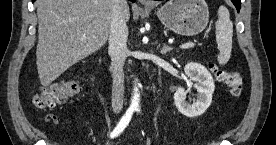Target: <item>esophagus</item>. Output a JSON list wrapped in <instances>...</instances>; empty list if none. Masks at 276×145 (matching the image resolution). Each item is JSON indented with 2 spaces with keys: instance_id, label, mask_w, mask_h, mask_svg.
<instances>
[{
  "instance_id": "1",
  "label": "esophagus",
  "mask_w": 276,
  "mask_h": 145,
  "mask_svg": "<svg viewBox=\"0 0 276 145\" xmlns=\"http://www.w3.org/2000/svg\"><path fill=\"white\" fill-rule=\"evenodd\" d=\"M138 2H140L143 5H151L152 4V2L149 0H138Z\"/></svg>"
}]
</instances>
